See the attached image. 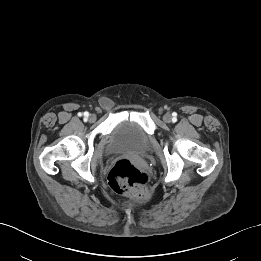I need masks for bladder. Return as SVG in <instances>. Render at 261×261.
<instances>
[{
	"label": "bladder",
	"mask_w": 261,
	"mask_h": 261,
	"mask_svg": "<svg viewBox=\"0 0 261 261\" xmlns=\"http://www.w3.org/2000/svg\"><path fill=\"white\" fill-rule=\"evenodd\" d=\"M150 146V137L139 124L131 120H120L112 128L106 152L108 154L130 153L143 155Z\"/></svg>",
	"instance_id": "obj_1"
}]
</instances>
